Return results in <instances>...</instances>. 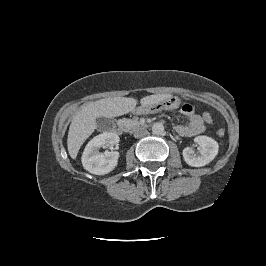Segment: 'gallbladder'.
I'll list each match as a JSON object with an SVG mask.
<instances>
[{"label": "gallbladder", "instance_id": "1", "mask_svg": "<svg viewBox=\"0 0 266 266\" xmlns=\"http://www.w3.org/2000/svg\"><path fill=\"white\" fill-rule=\"evenodd\" d=\"M97 128L100 130H109L112 128L113 120L100 116L96 119Z\"/></svg>", "mask_w": 266, "mask_h": 266}]
</instances>
